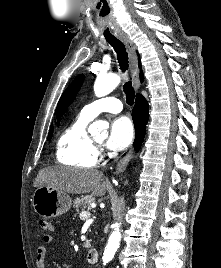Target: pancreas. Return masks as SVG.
Instances as JSON below:
<instances>
[{
    "label": "pancreas",
    "mask_w": 221,
    "mask_h": 268,
    "mask_svg": "<svg viewBox=\"0 0 221 268\" xmlns=\"http://www.w3.org/2000/svg\"><path fill=\"white\" fill-rule=\"evenodd\" d=\"M95 201V198L89 195L81 196L75 199L74 208L79 212V209L84 210L89 207L91 203Z\"/></svg>",
    "instance_id": "pancreas-1"
}]
</instances>
